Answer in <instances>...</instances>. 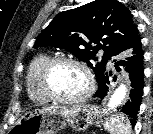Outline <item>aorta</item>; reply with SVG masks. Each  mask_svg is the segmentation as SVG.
I'll list each match as a JSON object with an SVG mask.
<instances>
[{"instance_id": "obj_1", "label": "aorta", "mask_w": 153, "mask_h": 134, "mask_svg": "<svg viewBox=\"0 0 153 134\" xmlns=\"http://www.w3.org/2000/svg\"><path fill=\"white\" fill-rule=\"evenodd\" d=\"M126 94H127V86L124 83H122L120 84V86L116 88L112 96L109 98L107 104L108 110H113L118 106H120L124 101Z\"/></svg>"}]
</instances>
